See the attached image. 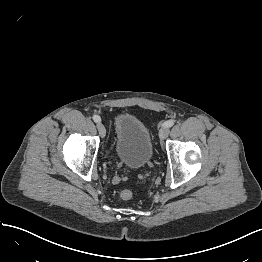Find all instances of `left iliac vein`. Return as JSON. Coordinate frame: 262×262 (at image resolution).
Instances as JSON below:
<instances>
[{
  "label": "left iliac vein",
  "instance_id": "left-iliac-vein-1",
  "mask_svg": "<svg viewBox=\"0 0 262 262\" xmlns=\"http://www.w3.org/2000/svg\"><path fill=\"white\" fill-rule=\"evenodd\" d=\"M168 134H169V128L166 126L162 127L159 131L160 140L164 141L167 138Z\"/></svg>",
  "mask_w": 262,
  "mask_h": 262
}]
</instances>
